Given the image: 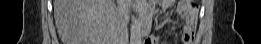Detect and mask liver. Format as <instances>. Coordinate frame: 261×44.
Listing matches in <instances>:
<instances>
[{
    "label": "liver",
    "instance_id": "obj_1",
    "mask_svg": "<svg viewBox=\"0 0 261 44\" xmlns=\"http://www.w3.org/2000/svg\"><path fill=\"white\" fill-rule=\"evenodd\" d=\"M114 0H55L54 18L64 44H116L111 32L124 24ZM108 42V43H107Z\"/></svg>",
    "mask_w": 261,
    "mask_h": 44
}]
</instances>
